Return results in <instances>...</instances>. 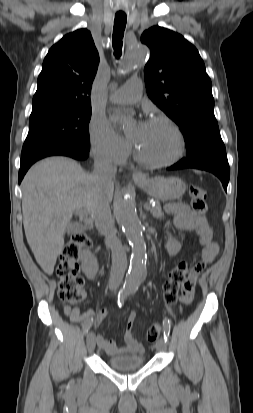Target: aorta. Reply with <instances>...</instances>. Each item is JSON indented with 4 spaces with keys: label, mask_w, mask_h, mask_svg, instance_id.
<instances>
[{
    "label": "aorta",
    "mask_w": 253,
    "mask_h": 413,
    "mask_svg": "<svg viewBox=\"0 0 253 413\" xmlns=\"http://www.w3.org/2000/svg\"><path fill=\"white\" fill-rule=\"evenodd\" d=\"M148 56V48L137 44L127 51L125 59L119 64L120 73H128L134 66L144 62ZM115 118L124 124V117L118 110L114 111ZM115 210L122 229L132 248L130 267L125 279L124 289L136 290L145 280L146 271V244L143 236L142 223L138 218L133 200L127 193H123L117 199Z\"/></svg>",
    "instance_id": "aorta-1"
}]
</instances>
